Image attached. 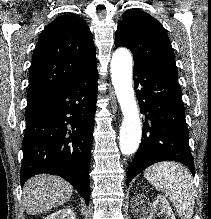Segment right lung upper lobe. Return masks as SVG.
Returning <instances> with one entry per match:
<instances>
[{
	"mask_svg": "<svg viewBox=\"0 0 211 219\" xmlns=\"http://www.w3.org/2000/svg\"><path fill=\"white\" fill-rule=\"evenodd\" d=\"M95 67L96 49L87 24L73 13L59 16L42 31L35 47L27 102Z\"/></svg>",
	"mask_w": 211,
	"mask_h": 219,
	"instance_id": "right-lung-upper-lobe-1",
	"label": "right lung upper lobe"
}]
</instances>
